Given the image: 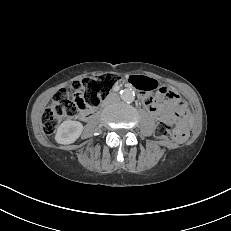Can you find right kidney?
<instances>
[{
  "instance_id": "ca27d5eb",
  "label": "right kidney",
  "mask_w": 231,
  "mask_h": 231,
  "mask_svg": "<svg viewBox=\"0 0 231 231\" xmlns=\"http://www.w3.org/2000/svg\"><path fill=\"white\" fill-rule=\"evenodd\" d=\"M83 131V125L78 121L65 120L57 129L56 142L60 144H71L75 142Z\"/></svg>"
}]
</instances>
